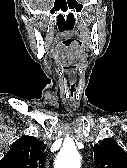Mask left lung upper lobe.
Masks as SVG:
<instances>
[{
    "instance_id": "left-lung-upper-lobe-1",
    "label": "left lung upper lobe",
    "mask_w": 127,
    "mask_h": 168,
    "mask_svg": "<svg viewBox=\"0 0 127 168\" xmlns=\"http://www.w3.org/2000/svg\"><path fill=\"white\" fill-rule=\"evenodd\" d=\"M97 168H127V153L112 138L94 146Z\"/></svg>"
}]
</instances>
